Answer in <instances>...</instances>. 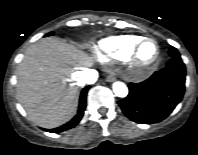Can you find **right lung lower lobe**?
Wrapping results in <instances>:
<instances>
[{
  "mask_svg": "<svg viewBox=\"0 0 198 155\" xmlns=\"http://www.w3.org/2000/svg\"><path fill=\"white\" fill-rule=\"evenodd\" d=\"M88 88L89 87H86L82 90L81 96H80V102H79L80 104H79L78 113L70 122H68L67 124H65L59 128H56V129H51V130L45 129V130H47L48 132L56 133V132H61V131H64V130L74 127L81 120V118L84 114V110L86 107V95H87Z\"/></svg>",
  "mask_w": 198,
  "mask_h": 155,
  "instance_id": "98d812e1",
  "label": "right lung lower lobe"
}]
</instances>
